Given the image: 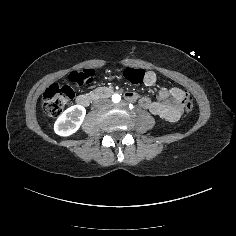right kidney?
Segmentation results:
<instances>
[{
    "label": "right kidney",
    "instance_id": "obj_1",
    "mask_svg": "<svg viewBox=\"0 0 236 236\" xmlns=\"http://www.w3.org/2000/svg\"><path fill=\"white\" fill-rule=\"evenodd\" d=\"M86 109L81 105H74L66 109L56 120L54 131L60 136H69L81 126Z\"/></svg>",
    "mask_w": 236,
    "mask_h": 236
}]
</instances>
